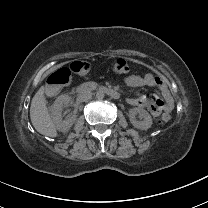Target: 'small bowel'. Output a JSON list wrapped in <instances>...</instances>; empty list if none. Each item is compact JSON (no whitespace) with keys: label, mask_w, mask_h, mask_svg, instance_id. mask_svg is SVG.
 Returning a JSON list of instances; mask_svg holds the SVG:
<instances>
[{"label":"small bowel","mask_w":208,"mask_h":208,"mask_svg":"<svg viewBox=\"0 0 208 208\" xmlns=\"http://www.w3.org/2000/svg\"><path fill=\"white\" fill-rule=\"evenodd\" d=\"M124 81L130 87L156 86L162 96L161 99H154L146 96L135 97L129 99L130 104L146 107L154 116H158L161 112H169L172 110L173 98L163 78L151 74L144 76L132 74L127 76Z\"/></svg>","instance_id":"small-bowel-1"}]
</instances>
